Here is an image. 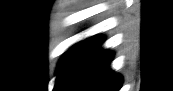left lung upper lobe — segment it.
Instances as JSON below:
<instances>
[{
	"label": "left lung upper lobe",
	"instance_id": "left-lung-upper-lobe-1",
	"mask_svg": "<svg viewBox=\"0 0 173 91\" xmlns=\"http://www.w3.org/2000/svg\"><path fill=\"white\" fill-rule=\"evenodd\" d=\"M79 44L74 45L72 48H70L65 54L64 56L61 58L59 65H58V73H61L69 56L71 55V53L74 51V49L78 46Z\"/></svg>",
	"mask_w": 173,
	"mask_h": 91
}]
</instances>
